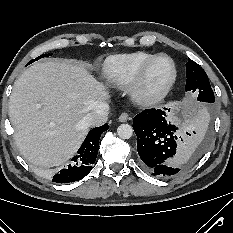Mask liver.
Wrapping results in <instances>:
<instances>
[{"label": "liver", "instance_id": "1", "mask_svg": "<svg viewBox=\"0 0 233 233\" xmlns=\"http://www.w3.org/2000/svg\"><path fill=\"white\" fill-rule=\"evenodd\" d=\"M109 98L85 64L51 60L33 64L16 80L9 117L21 154L50 168L69 160L85 139V117Z\"/></svg>", "mask_w": 233, "mask_h": 233}]
</instances>
